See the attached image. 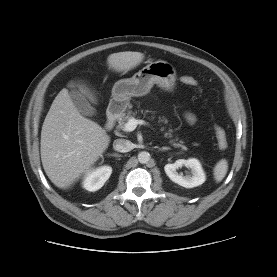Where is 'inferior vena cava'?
<instances>
[{
  "label": "inferior vena cava",
  "mask_w": 277,
  "mask_h": 277,
  "mask_svg": "<svg viewBox=\"0 0 277 277\" xmlns=\"http://www.w3.org/2000/svg\"><path fill=\"white\" fill-rule=\"evenodd\" d=\"M113 148L118 152H129L133 149V143L126 139H116L113 142Z\"/></svg>",
  "instance_id": "602c4592"
}]
</instances>
